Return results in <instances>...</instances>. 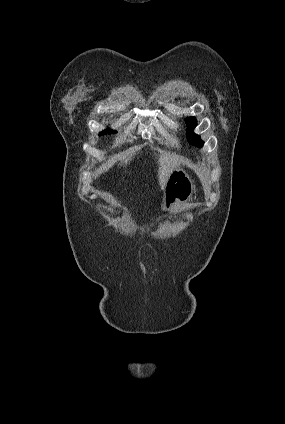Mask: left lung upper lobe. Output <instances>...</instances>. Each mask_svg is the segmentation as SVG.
<instances>
[{
  "mask_svg": "<svg viewBox=\"0 0 285 424\" xmlns=\"http://www.w3.org/2000/svg\"><path fill=\"white\" fill-rule=\"evenodd\" d=\"M185 121L188 127V130H187L188 142L197 147L203 146V141L200 139V137L196 135L195 133H193V129L197 125L196 119L194 117H189V118H186Z\"/></svg>",
  "mask_w": 285,
  "mask_h": 424,
  "instance_id": "obj_1",
  "label": "left lung upper lobe"
}]
</instances>
